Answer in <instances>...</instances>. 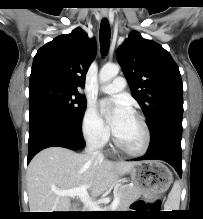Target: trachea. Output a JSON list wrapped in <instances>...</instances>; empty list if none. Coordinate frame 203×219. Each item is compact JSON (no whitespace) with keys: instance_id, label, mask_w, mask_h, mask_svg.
Wrapping results in <instances>:
<instances>
[{"instance_id":"trachea-1","label":"trachea","mask_w":203,"mask_h":219,"mask_svg":"<svg viewBox=\"0 0 203 219\" xmlns=\"http://www.w3.org/2000/svg\"><path fill=\"white\" fill-rule=\"evenodd\" d=\"M111 30L109 22L103 19L100 25V42L104 51H106L110 44Z\"/></svg>"}]
</instances>
